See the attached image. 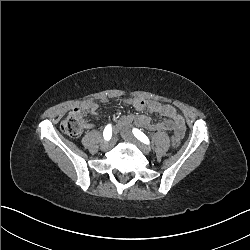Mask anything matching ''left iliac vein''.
<instances>
[{
	"label": "left iliac vein",
	"instance_id": "left-iliac-vein-1",
	"mask_svg": "<svg viewBox=\"0 0 250 250\" xmlns=\"http://www.w3.org/2000/svg\"><path fill=\"white\" fill-rule=\"evenodd\" d=\"M121 136L129 141L134 143L135 145H137L139 147V149L142 151V153H144L145 155H148L150 153V149L145 146L143 143L139 142L138 140H136V138L132 135L131 131L127 128H123L121 131Z\"/></svg>",
	"mask_w": 250,
	"mask_h": 250
}]
</instances>
